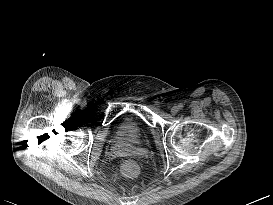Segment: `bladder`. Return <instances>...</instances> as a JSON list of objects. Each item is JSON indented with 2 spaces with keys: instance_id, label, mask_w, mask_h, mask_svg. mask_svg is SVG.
I'll return each mask as SVG.
<instances>
[{
  "instance_id": "31cf9c89",
  "label": "bladder",
  "mask_w": 273,
  "mask_h": 205,
  "mask_svg": "<svg viewBox=\"0 0 273 205\" xmlns=\"http://www.w3.org/2000/svg\"><path fill=\"white\" fill-rule=\"evenodd\" d=\"M113 137L121 146H136L142 141L143 130L132 119L122 117L115 125Z\"/></svg>"
}]
</instances>
